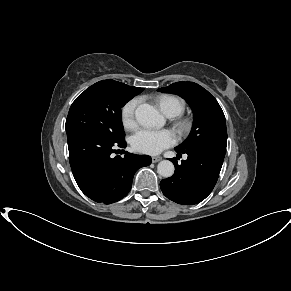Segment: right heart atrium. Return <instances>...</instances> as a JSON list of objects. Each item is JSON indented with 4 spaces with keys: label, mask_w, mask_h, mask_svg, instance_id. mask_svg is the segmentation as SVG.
<instances>
[{
    "label": "right heart atrium",
    "mask_w": 291,
    "mask_h": 291,
    "mask_svg": "<svg viewBox=\"0 0 291 291\" xmlns=\"http://www.w3.org/2000/svg\"><path fill=\"white\" fill-rule=\"evenodd\" d=\"M138 99L128 101L121 109V121L126 129H133L136 126L135 113Z\"/></svg>",
    "instance_id": "right-heart-atrium-1"
}]
</instances>
